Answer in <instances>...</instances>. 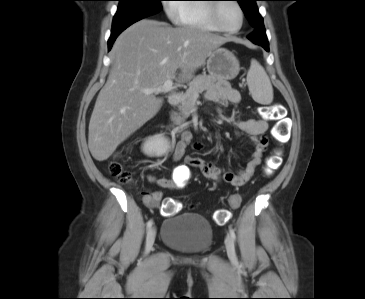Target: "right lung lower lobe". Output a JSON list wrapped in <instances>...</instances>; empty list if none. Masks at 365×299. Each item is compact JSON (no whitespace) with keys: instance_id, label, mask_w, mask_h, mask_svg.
<instances>
[{"instance_id":"obj_1","label":"right lung lower lobe","mask_w":365,"mask_h":299,"mask_svg":"<svg viewBox=\"0 0 365 299\" xmlns=\"http://www.w3.org/2000/svg\"><path fill=\"white\" fill-rule=\"evenodd\" d=\"M141 19H143V18L127 19V20H123V21L113 23L112 31H111V37L108 41L109 50L111 49L114 41L116 40V38L120 35V33L122 31H124L127 27H129L130 25H132L133 23H135V22H137Z\"/></svg>"}]
</instances>
